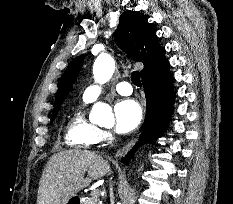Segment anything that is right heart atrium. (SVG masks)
<instances>
[{
	"instance_id": "1",
	"label": "right heart atrium",
	"mask_w": 233,
	"mask_h": 204,
	"mask_svg": "<svg viewBox=\"0 0 233 204\" xmlns=\"http://www.w3.org/2000/svg\"><path fill=\"white\" fill-rule=\"evenodd\" d=\"M113 135L111 132L106 130H100L99 133V142H106L112 140Z\"/></svg>"
}]
</instances>
